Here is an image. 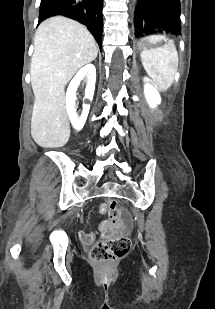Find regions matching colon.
Segmentation results:
<instances>
[{
  "instance_id": "colon-1",
  "label": "colon",
  "mask_w": 215,
  "mask_h": 309,
  "mask_svg": "<svg viewBox=\"0 0 215 309\" xmlns=\"http://www.w3.org/2000/svg\"><path fill=\"white\" fill-rule=\"evenodd\" d=\"M119 212L112 208V216L116 217ZM129 249V241L124 237H118L108 240H100L92 247V256L99 261L113 259L118 255L127 252Z\"/></svg>"
}]
</instances>
